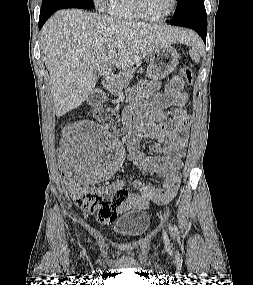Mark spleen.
Instances as JSON below:
<instances>
[{
  "label": "spleen",
  "instance_id": "spleen-1",
  "mask_svg": "<svg viewBox=\"0 0 253 285\" xmlns=\"http://www.w3.org/2000/svg\"><path fill=\"white\" fill-rule=\"evenodd\" d=\"M188 42L192 45V49L190 50V57L196 63L200 62V56L198 54L199 45L198 40L193 35L189 36Z\"/></svg>",
  "mask_w": 253,
  "mask_h": 285
}]
</instances>
